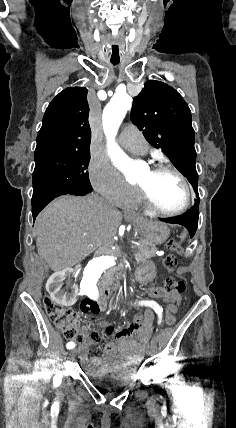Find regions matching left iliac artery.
Returning <instances> with one entry per match:
<instances>
[{"label":"left iliac artery","instance_id":"obj_1","mask_svg":"<svg viewBox=\"0 0 236 428\" xmlns=\"http://www.w3.org/2000/svg\"><path fill=\"white\" fill-rule=\"evenodd\" d=\"M86 295L94 300L98 299V291H88L86 292ZM140 305H145V306H150L151 308H153L155 310V312L158 314V324L161 323V319H162V307H160L155 301H141L139 302Z\"/></svg>","mask_w":236,"mask_h":428}]
</instances>
